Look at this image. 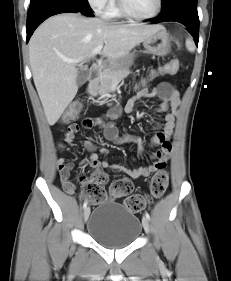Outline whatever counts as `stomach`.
I'll use <instances>...</instances> for the list:
<instances>
[{"label": "stomach", "mask_w": 231, "mask_h": 281, "mask_svg": "<svg viewBox=\"0 0 231 281\" xmlns=\"http://www.w3.org/2000/svg\"><path fill=\"white\" fill-rule=\"evenodd\" d=\"M143 46L148 53L163 56L169 53L171 39L166 29H160L143 41ZM134 55L129 54L111 65V69L129 66L133 63Z\"/></svg>", "instance_id": "0dacf381"}]
</instances>
